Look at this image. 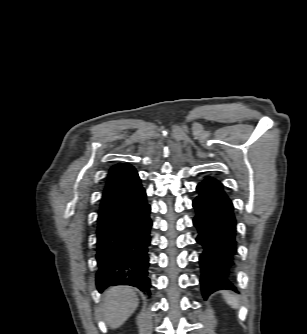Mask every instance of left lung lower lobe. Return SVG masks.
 Here are the masks:
<instances>
[{"instance_id": "left-lung-lower-lobe-1", "label": "left lung lower lobe", "mask_w": 307, "mask_h": 334, "mask_svg": "<svg viewBox=\"0 0 307 334\" xmlns=\"http://www.w3.org/2000/svg\"><path fill=\"white\" fill-rule=\"evenodd\" d=\"M199 196L193 201L198 229L197 243L203 247L199 256L201 288L204 298L221 289L236 291L231 274L236 255V220L231 200L222 184L207 177L197 186Z\"/></svg>"}]
</instances>
